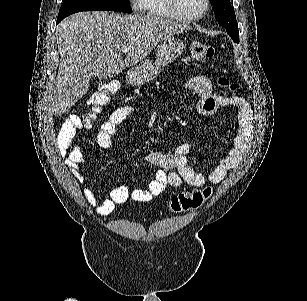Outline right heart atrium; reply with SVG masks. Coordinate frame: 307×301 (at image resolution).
<instances>
[{
    "label": "right heart atrium",
    "instance_id": "d8ad5b80",
    "mask_svg": "<svg viewBox=\"0 0 307 301\" xmlns=\"http://www.w3.org/2000/svg\"><path fill=\"white\" fill-rule=\"evenodd\" d=\"M135 4H142L143 0H134ZM142 9H145V6H142Z\"/></svg>",
    "mask_w": 307,
    "mask_h": 301
}]
</instances>
